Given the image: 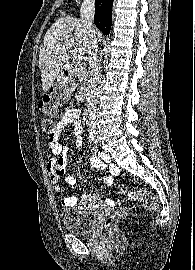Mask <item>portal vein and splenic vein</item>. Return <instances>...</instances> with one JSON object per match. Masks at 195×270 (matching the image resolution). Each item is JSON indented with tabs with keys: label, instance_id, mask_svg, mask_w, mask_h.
I'll use <instances>...</instances> for the list:
<instances>
[{
	"label": "portal vein and splenic vein",
	"instance_id": "obj_1",
	"mask_svg": "<svg viewBox=\"0 0 195 270\" xmlns=\"http://www.w3.org/2000/svg\"><path fill=\"white\" fill-rule=\"evenodd\" d=\"M72 54H73L74 58L82 59L83 55H84V52L82 50L75 49V50L72 51Z\"/></svg>",
	"mask_w": 195,
	"mask_h": 270
}]
</instances>
